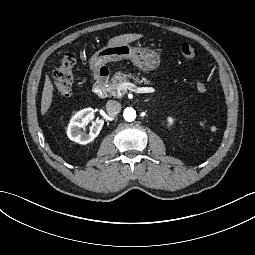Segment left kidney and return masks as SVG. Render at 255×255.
<instances>
[{
  "mask_svg": "<svg viewBox=\"0 0 255 255\" xmlns=\"http://www.w3.org/2000/svg\"><path fill=\"white\" fill-rule=\"evenodd\" d=\"M167 121H168V123H169L170 125H173V123H174V119H173L172 117H168V118H167Z\"/></svg>",
  "mask_w": 255,
  "mask_h": 255,
  "instance_id": "obj_1",
  "label": "left kidney"
}]
</instances>
